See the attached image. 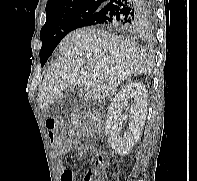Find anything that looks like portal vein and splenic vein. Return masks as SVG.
I'll use <instances>...</instances> for the list:
<instances>
[{
  "label": "portal vein and splenic vein",
  "instance_id": "portal-vein-and-splenic-vein-1",
  "mask_svg": "<svg viewBox=\"0 0 197 181\" xmlns=\"http://www.w3.org/2000/svg\"><path fill=\"white\" fill-rule=\"evenodd\" d=\"M81 73H82L83 75H87V74H88L86 71H83V72H81ZM93 76L96 77V76H98V74H97V73H94Z\"/></svg>",
  "mask_w": 197,
  "mask_h": 181
}]
</instances>
